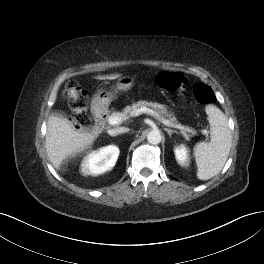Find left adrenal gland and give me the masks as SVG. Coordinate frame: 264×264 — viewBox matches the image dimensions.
Listing matches in <instances>:
<instances>
[{
    "instance_id": "obj_1",
    "label": "left adrenal gland",
    "mask_w": 264,
    "mask_h": 264,
    "mask_svg": "<svg viewBox=\"0 0 264 264\" xmlns=\"http://www.w3.org/2000/svg\"><path fill=\"white\" fill-rule=\"evenodd\" d=\"M164 130L168 133L169 137H172V133H178L176 130L164 128Z\"/></svg>"
}]
</instances>
